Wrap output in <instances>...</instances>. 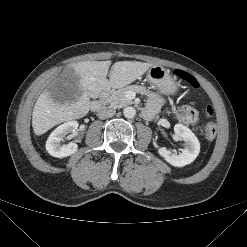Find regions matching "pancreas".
I'll list each match as a JSON object with an SVG mask.
<instances>
[{
    "instance_id": "obj_1",
    "label": "pancreas",
    "mask_w": 247,
    "mask_h": 247,
    "mask_svg": "<svg viewBox=\"0 0 247 247\" xmlns=\"http://www.w3.org/2000/svg\"><path fill=\"white\" fill-rule=\"evenodd\" d=\"M128 91L149 95V91L146 89L145 86L130 85L117 91H113L110 94V96L106 99V103L109 104L112 108H121L132 104L133 101L126 97V93Z\"/></svg>"
}]
</instances>
